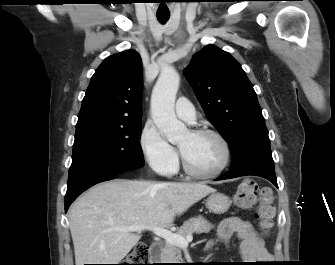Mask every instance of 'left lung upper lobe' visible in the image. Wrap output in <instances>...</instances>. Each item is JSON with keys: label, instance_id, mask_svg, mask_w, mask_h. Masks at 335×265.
<instances>
[{"label": "left lung upper lobe", "instance_id": "1", "mask_svg": "<svg viewBox=\"0 0 335 265\" xmlns=\"http://www.w3.org/2000/svg\"><path fill=\"white\" fill-rule=\"evenodd\" d=\"M184 73L207 118L230 145L231 170L275 172L261 107L240 64L208 45L192 57Z\"/></svg>", "mask_w": 335, "mask_h": 265}]
</instances>
